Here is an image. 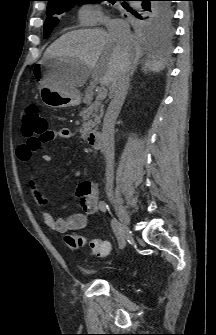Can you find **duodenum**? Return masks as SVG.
<instances>
[{
    "instance_id": "410a0bca",
    "label": "duodenum",
    "mask_w": 216,
    "mask_h": 335,
    "mask_svg": "<svg viewBox=\"0 0 216 335\" xmlns=\"http://www.w3.org/2000/svg\"><path fill=\"white\" fill-rule=\"evenodd\" d=\"M87 141L93 149H100L102 147V136L97 130H92L88 133Z\"/></svg>"
}]
</instances>
